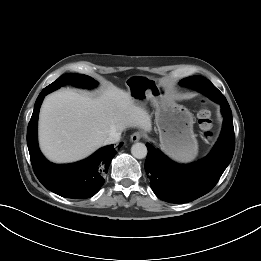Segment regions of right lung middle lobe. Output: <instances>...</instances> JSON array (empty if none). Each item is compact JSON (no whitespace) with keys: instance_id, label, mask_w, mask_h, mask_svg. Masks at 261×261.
<instances>
[{"instance_id":"obj_1","label":"right lung middle lobe","mask_w":261,"mask_h":261,"mask_svg":"<svg viewBox=\"0 0 261 261\" xmlns=\"http://www.w3.org/2000/svg\"><path fill=\"white\" fill-rule=\"evenodd\" d=\"M66 83H70L72 85H76L79 87H88V88L96 85V81L89 76L82 75V74H64L49 86L52 87L54 85H64Z\"/></svg>"}]
</instances>
